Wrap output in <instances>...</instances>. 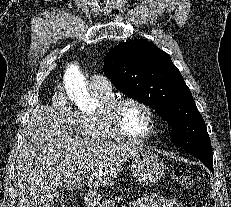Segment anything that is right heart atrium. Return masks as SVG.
<instances>
[{
    "mask_svg": "<svg viewBox=\"0 0 231 207\" xmlns=\"http://www.w3.org/2000/svg\"><path fill=\"white\" fill-rule=\"evenodd\" d=\"M51 106L63 124L71 128L78 126L79 113L71 107L66 94L61 89L52 94Z\"/></svg>",
    "mask_w": 231,
    "mask_h": 207,
    "instance_id": "right-heart-atrium-1",
    "label": "right heart atrium"
}]
</instances>
